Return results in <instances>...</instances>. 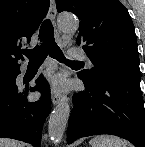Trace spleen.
I'll use <instances>...</instances> for the list:
<instances>
[{"instance_id": "obj_1", "label": "spleen", "mask_w": 145, "mask_h": 147, "mask_svg": "<svg viewBox=\"0 0 145 147\" xmlns=\"http://www.w3.org/2000/svg\"><path fill=\"white\" fill-rule=\"evenodd\" d=\"M91 147H126V143L118 137L109 135L96 136L90 141Z\"/></svg>"}]
</instances>
